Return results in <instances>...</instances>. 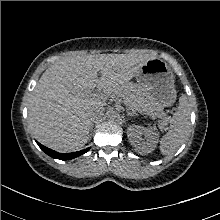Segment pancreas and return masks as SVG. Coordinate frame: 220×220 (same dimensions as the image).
<instances>
[{
  "label": "pancreas",
  "mask_w": 220,
  "mask_h": 220,
  "mask_svg": "<svg viewBox=\"0 0 220 220\" xmlns=\"http://www.w3.org/2000/svg\"><path fill=\"white\" fill-rule=\"evenodd\" d=\"M141 89L138 84L136 83H127L125 91L121 93V97L124 99V102L127 106L134 109L139 104V99L141 96ZM160 110H156L155 114H159Z\"/></svg>",
  "instance_id": "pancreas-1"
}]
</instances>
